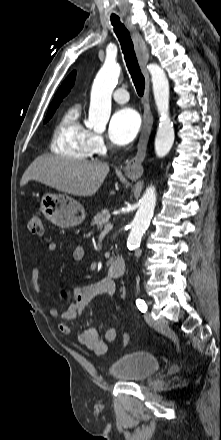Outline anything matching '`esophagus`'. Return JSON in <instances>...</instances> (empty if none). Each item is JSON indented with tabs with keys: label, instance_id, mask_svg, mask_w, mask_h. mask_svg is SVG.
Wrapping results in <instances>:
<instances>
[{
	"label": "esophagus",
	"instance_id": "1",
	"mask_svg": "<svg viewBox=\"0 0 221 440\" xmlns=\"http://www.w3.org/2000/svg\"><path fill=\"white\" fill-rule=\"evenodd\" d=\"M127 26L131 32L136 53L143 71L145 78V90H144V115L143 124L141 128V133L139 141L137 144V152L134 157H132L125 165L124 171L128 176L140 177L143 173L142 162L146 156V149L149 140V136L152 129L153 117L150 110L149 93H150V77L147 70V65L149 61V56L147 53L146 44L136 29L135 25L131 22L129 18H126Z\"/></svg>",
	"mask_w": 221,
	"mask_h": 440
}]
</instances>
